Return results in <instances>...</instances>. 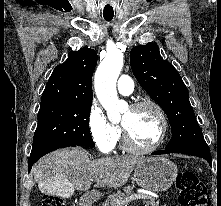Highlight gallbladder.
<instances>
[{"mask_svg": "<svg viewBox=\"0 0 221 206\" xmlns=\"http://www.w3.org/2000/svg\"><path fill=\"white\" fill-rule=\"evenodd\" d=\"M38 190H42V194H53L54 198H70V194H74L71 181H39Z\"/></svg>", "mask_w": 221, "mask_h": 206, "instance_id": "gallbladder-1", "label": "gallbladder"}]
</instances>
